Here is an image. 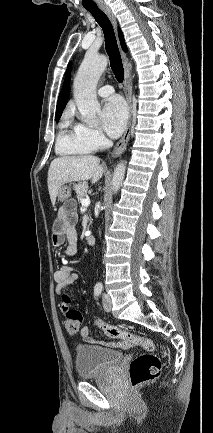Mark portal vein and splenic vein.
Returning <instances> with one entry per match:
<instances>
[{
	"mask_svg": "<svg viewBox=\"0 0 213 433\" xmlns=\"http://www.w3.org/2000/svg\"><path fill=\"white\" fill-rule=\"evenodd\" d=\"M81 205H82L83 207H88V206L90 205V199H89L88 197L83 198V199L81 200Z\"/></svg>",
	"mask_w": 213,
	"mask_h": 433,
	"instance_id": "1",
	"label": "portal vein and splenic vein"
}]
</instances>
